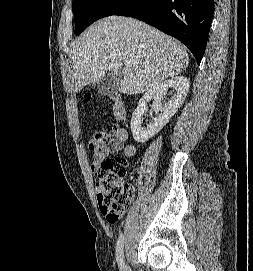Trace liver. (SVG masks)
<instances>
[{
    "mask_svg": "<svg viewBox=\"0 0 253 271\" xmlns=\"http://www.w3.org/2000/svg\"><path fill=\"white\" fill-rule=\"evenodd\" d=\"M72 61L74 92L112 72L122 75L119 91L134 95L184 71L189 57L179 41L158 29L133 18L110 16L81 34L73 45Z\"/></svg>",
    "mask_w": 253,
    "mask_h": 271,
    "instance_id": "obj_1",
    "label": "liver"
}]
</instances>
